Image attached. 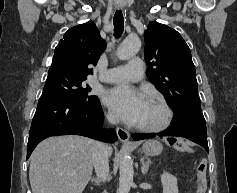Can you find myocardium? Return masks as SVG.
<instances>
[{
    "label": "myocardium",
    "instance_id": "1",
    "mask_svg": "<svg viewBox=\"0 0 237 193\" xmlns=\"http://www.w3.org/2000/svg\"><path fill=\"white\" fill-rule=\"evenodd\" d=\"M151 101L156 103L163 111V118L158 124L154 125H136V128L143 132H161L168 128L173 120V111L166 100L160 96H152Z\"/></svg>",
    "mask_w": 237,
    "mask_h": 193
}]
</instances>
